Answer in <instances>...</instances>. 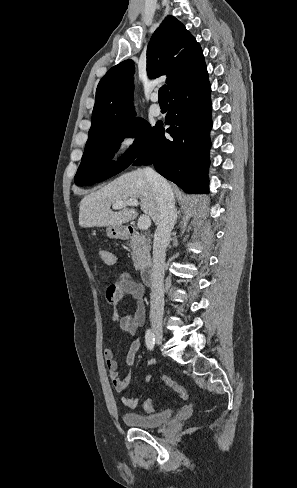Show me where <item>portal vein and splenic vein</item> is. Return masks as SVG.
Masks as SVG:
<instances>
[{
  "instance_id": "portal-vein-and-splenic-vein-1",
  "label": "portal vein and splenic vein",
  "mask_w": 297,
  "mask_h": 488,
  "mask_svg": "<svg viewBox=\"0 0 297 488\" xmlns=\"http://www.w3.org/2000/svg\"><path fill=\"white\" fill-rule=\"evenodd\" d=\"M129 206H138L139 202L137 199H128L123 202H118L112 205L113 209H120L123 207ZM151 225V219L148 215H142L138 219V228L141 230H147Z\"/></svg>"
}]
</instances>
